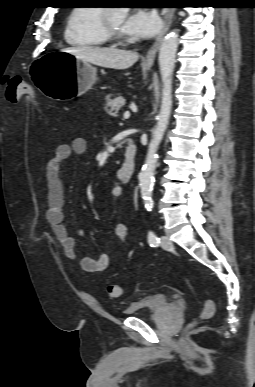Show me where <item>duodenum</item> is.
I'll use <instances>...</instances> for the list:
<instances>
[{
	"mask_svg": "<svg viewBox=\"0 0 255 387\" xmlns=\"http://www.w3.org/2000/svg\"><path fill=\"white\" fill-rule=\"evenodd\" d=\"M137 147L134 141L127 143L125 156L122 165L117 171V176L122 182H129L134 174L136 167Z\"/></svg>",
	"mask_w": 255,
	"mask_h": 387,
	"instance_id": "duodenum-1",
	"label": "duodenum"
}]
</instances>
